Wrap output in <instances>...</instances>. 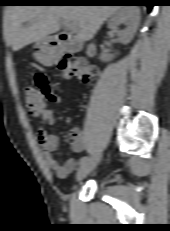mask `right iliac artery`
I'll return each instance as SVG.
<instances>
[{"instance_id":"obj_1","label":"right iliac artery","mask_w":170,"mask_h":231,"mask_svg":"<svg viewBox=\"0 0 170 231\" xmlns=\"http://www.w3.org/2000/svg\"><path fill=\"white\" fill-rule=\"evenodd\" d=\"M88 160H89V158H88L87 156L82 157V158L79 160V165L85 164Z\"/></svg>"}]
</instances>
